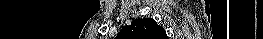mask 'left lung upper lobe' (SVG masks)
I'll return each mask as SVG.
<instances>
[{"label":"left lung upper lobe","mask_w":263,"mask_h":39,"mask_svg":"<svg viewBox=\"0 0 263 39\" xmlns=\"http://www.w3.org/2000/svg\"><path fill=\"white\" fill-rule=\"evenodd\" d=\"M116 39H168L165 30L152 18L136 19L123 27Z\"/></svg>","instance_id":"5c2ea615"}]
</instances>
